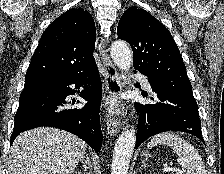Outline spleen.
Listing matches in <instances>:
<instances>
[{"mask_svg": "<svg viewBox=\"0 0 224 174\" xmlns=\"http://www.w3.org/2000/svg\"><path fill=\"white\" fill-rule=\"evenodd\" d=\"M164 144L173 149L177 162L187 171L186 174H206L204 162L198 150L177 134L171 132L157 134L148 142V147Z\"/></svg>", "mask_w": 224, "mask_h": 174, "instance_id": "3e777b00", "label": "spleen"}]
</instances>
